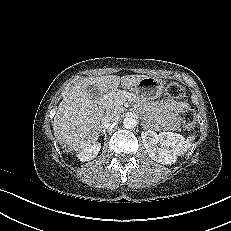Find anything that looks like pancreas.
Instances as JSON below:
<instances>
[{
	"instance_id": "cf45deb5",
	"label": "pancreas",
	"mask_w": 231,
	"mask_h": 231,
	"mask_svg": "<svg viewBox=\"0 0 231 231\" xmlns=\"http://www.w3.org/2000/svg\"><path fill=\"white\" fill-rule=\"evenodd\" d=\"M126 101H132V102H140V98H138L133 93L125 92V91H119L115 94H112L108 97H106L103 101V106L106 110L107 114L110 113H121L123 112V103Z\"/></svg>"
}]
</instances>
